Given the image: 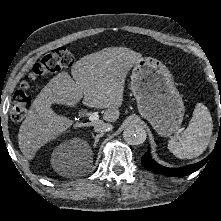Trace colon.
Returning <instances> with one entry per match:
<instances>
[{"label": "colon", "mask_w": 221, "mask_h": 221, "mask_svg": "<svg viewBox=\"0 0 221 221\" xmlns=\"http://www.w3.org/2000/svg\"><path fill=\"white\" fill-rule=\"evenodd\" d=\"M73 63L74 55L66 47L57 48L46 54L34 65L29 75V80L22 82L19 89L14 93L11 118L18 122L26 116L28 106L32 101V97L29 93L32 81L55 74L63 68L72 66Z\"/></svg>", "instance_id": "colon-1"}]
</instances>
